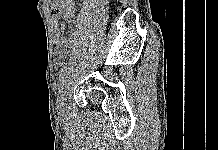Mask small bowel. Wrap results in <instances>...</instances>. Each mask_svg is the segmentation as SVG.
Instances as JSON below:
<instances>
[{
	"instance_id": "small-bowel-1",
	"label": "small bowel",
	"mask_w": 218,
	"mask_h": 150,
	"mask_svg": "<svg viewBox=\"0 0 218 150\" xmlns=\"http://www.w3.org/2000/svg\"><path fill=\"white\" fill-rule=\"evenodd\" d=\"M74 3L70 2L68 4V9L62 12H55L53 14V31L54 39L58 48L55 53L56 63H61L65 58L64 47H73L75 43V34L72 30L63 31V28L70 23L72 12L74 8ZM60 20L62 23L59 24Z\"/></svg>"
}]
</instances>
